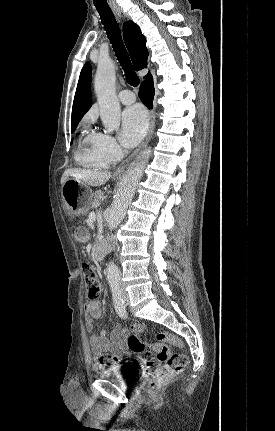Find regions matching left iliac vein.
Segmentation results:
<instances>
[{"instance_id":"1","label":"left iliac vein","mask_w":275,"mask_h":431,"mask_svg":"<svg viewBox=\"0 0 275 431\" xmlns=\"http://www.w3.org/2000/svg\"><path fill=\"white\" fill-rule=\"evenodd\" d=\"M122 298L124 300V303L126 305H128L129 304V296H128L127 292H125V291L122 292Z\"/></svg>"}]
</instances>
